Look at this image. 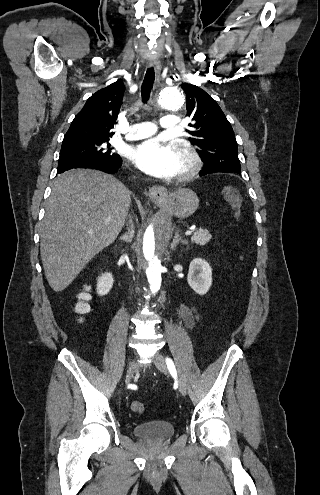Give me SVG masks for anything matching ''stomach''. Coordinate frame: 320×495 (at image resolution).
Here are the masks:
<instances>
[{
    "label": "stomach",
    "instance_id": "1",
    "mask_svg": "<svg viewBox=\"0 0 320 495\" xmlns=\"http://www.w3.org/2000/svg\"><path fill=\"white\" fill-rule=\"evenodd\" d=\"M157 204L178 218H187L197 210L199 199L192 190L184 188L167 195L163 201H158Z\"/></svg>",
    "mask_w": 320,
    "mask_h": 495
}]
</instances>
